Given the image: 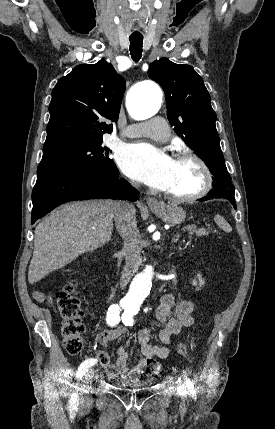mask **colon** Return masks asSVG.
I'll use <instances>...</instances> for the list:
<instances>
[{"label":"colon","mask_w":275,"mask_h":429,"mask_svg":"<svg viewBox=\"0 0 275 429\" xmlns=\"http://www.w3.org/2000/svg\"><path fill=\"white\" fill-rule=\"evenodd\" d=\"M78 281L71 280L56 295L57 306L61 315V334L64 348L70 355H77L83 348V333L85 326L82 322V310L77 297ZM179 354L185 356V345L179 346ZM99 363L108 366L109 356L101 351L98 354ZM160 369L158 363L152 359L147 363V373L156 375Z\"/></svg>","instance_id":"1"}]
</instances>
